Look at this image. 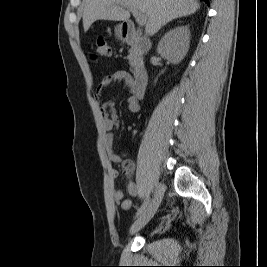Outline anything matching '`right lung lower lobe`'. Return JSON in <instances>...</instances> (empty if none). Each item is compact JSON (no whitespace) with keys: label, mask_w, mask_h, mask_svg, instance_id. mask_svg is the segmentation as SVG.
Masks as SVG:
<instances>
[{"label":"right lung lower lobe","mask_w":267,"mask_h":267,"mask_svg":"<svg viewBox=\"0 0 267 267\" xmlns=\"http://www.w3.org/2000/svg\"><path fill=\"white\" fill-rule=\"evenodd\" d=\"M208 5H209V2H208V0H204Z\"/></svg>","instance_id":"right-lung-lower-lobe-1"}]
</instances>
